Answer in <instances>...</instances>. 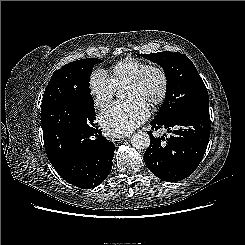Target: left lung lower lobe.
<instances>
[{"instance_id": "1", "label": "left lung lower lobe", "mask_w": 245, "mask_h": 245, "mask_svg": "<svg viewBox=\"0 0 245 245\" xmlns=\"http://www.w3.org/2000/svg\"><path fill=\"white\" fill-rule=\"evenodd\" d=\"M150 125L152 130L164 127L173 135L166 139L155 138L152 131H148L150 145L144 154L148 169L166 182L181 181L191 175L201 162L208 145L209 105L191 107L173 120H153Z\"/></svg>"}]
</instances>
